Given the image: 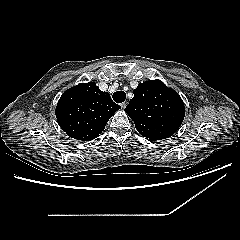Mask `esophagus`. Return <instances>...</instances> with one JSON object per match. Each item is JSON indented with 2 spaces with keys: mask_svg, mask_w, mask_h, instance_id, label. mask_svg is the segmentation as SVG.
<instances>
[{
  "mask_svg": "<svg viewBox=\"0 0 240 240\" xmlns=\"http://www.w3.org/2000/svg\"><path fill=\"white\" fill-rule=\"evenodd\" d=\"M120 106H121L122 109H125V107L127 106V102H122V103L120 104Z\"/></svg>",
  "mask_w": 240,
  "mask_h": 240,
  "instance_id": "1",
  "label": "esophagus"
}]
</instances>
